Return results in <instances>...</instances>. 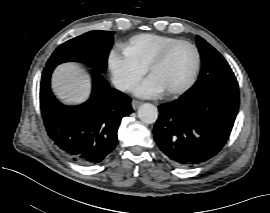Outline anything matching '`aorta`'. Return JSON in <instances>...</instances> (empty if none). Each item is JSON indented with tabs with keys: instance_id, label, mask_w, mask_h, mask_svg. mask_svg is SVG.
Wrapping results in <instances>:
<instances>
[{
	"instance_id": "762f6f07",
	"label": "aorta",
	"mask_w": 270,
	"mask_h": 213,
	"mask_svg": "<svg viewBox=\"0 0 270 213\" xmlns=\"http://www.w3.org/2000/svg\"><path fill=\"white\" fill-rule=\"evenodd\" d=\"M138 117L146 124L155 123L158 118V109L151 103H144L138 109Z\"/></svg>"
}]
</instances>
